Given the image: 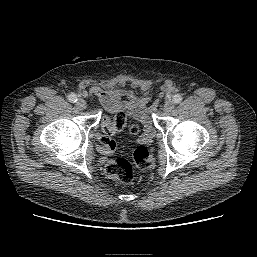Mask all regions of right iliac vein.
Listing matches in <instances>:
<instances>
[{"instance_id": "obj_1", "label": "right iliac vein", "mask_w": 257, "mask_h": 257, "mask_svg": "<svg viewBox=\"0 0 257 257\" xmlns=\"http://www.w3.org/2000/svg\"><path fill=\"white\" fill-rule=\"evenodd\" d=\"M76 106H77L78 109L84 110V109H86L87 104H86L85 100L78 99V101L76 102Z\"/></svg>"}]
</instances>
